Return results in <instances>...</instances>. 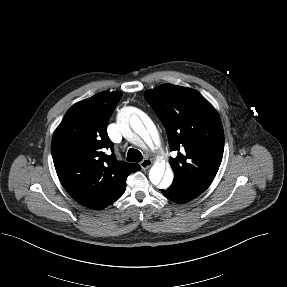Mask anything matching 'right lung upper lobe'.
<instances>
[{
	"instance_id": "obj_1",
	"label": "right lung upper lobe",
	"mask_w": 287,
	"mask_h": 287,
	"mask_svg": "<svg viewBox=\"0 0 287 287\" xmlns=\"http://www.w3.org/2000/svg\"><path fill=\"white\" fill-rule=\"evenodd\" d=\"M119 92H101L74 104L53 134L51 152L58 178L81 205L103 209L118 200L140 165L119 162L107 134Z\"/></svg>"
}]
</instances>
